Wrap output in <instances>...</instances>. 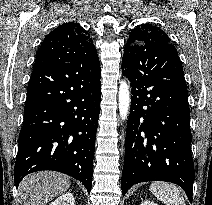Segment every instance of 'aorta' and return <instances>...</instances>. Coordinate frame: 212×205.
<instances>
[{"label": "aorta", "mask_w": 212, "mask_h": 205, "mask_svg": "<svg viewBox=\"0 0 212 205\" xmlns=\"http://www.w3.org/2000/svg\"><path fill=\"white\" fill-rule=\"evenodd\" d=\"M130 91L129 84L126 80L120 82L118 93V107L121 119L124 121L127 119L130 109Z\"/></svg>", "instance_id": "1"}]
</instances>
